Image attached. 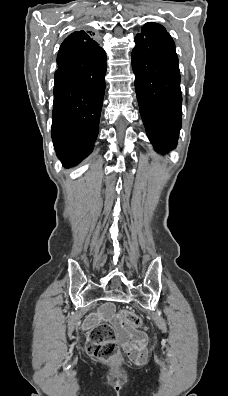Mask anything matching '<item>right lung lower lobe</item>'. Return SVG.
Listing matches in <instances>:
<instances>
[{
  "label": "right lung lower lobe",
  "instance_id": "right-lung-lower-lobe-1",
  "mask_svg": "<svg viewBox=\"0 0 228 396\" xmlns=\"http://www.w3.org/2000/svg\"><path fill=\"white\" fill-rule=\"evenodd\" d=\"M57 63L51 135L57 156L72 167L92 152L98 135L106 54L98 44L82 51L62 43Z\"/></svg>",
  "mask_w": 228,
  "mask_h": 396
}]
</instances>
